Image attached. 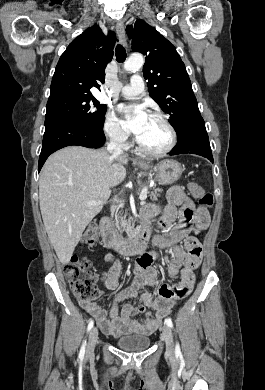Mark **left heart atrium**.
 I'll list each match as a JSON object with an SVG mask.
<instances>
[{"label": "left heart atrium", "instance_id": "left-heart-atrium-1", "mask_svg": "<svg viewBox=\"0 0 265 390\" xmlns=\"http://www.w3.org/2000/svg\"><path fill=\"white\" fill-rule=\"evenodd\" d=\"M119 110L125 117L126 127L137 136L140 134L147 118L148 114L141 106H120Z\"/></svg>", "mask_w": 265, "mask_h": 390}]
</instances>
